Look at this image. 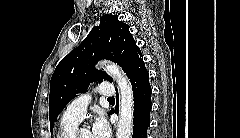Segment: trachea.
<instances>
[{
  "label": "trachea",
  "mask_w": 240,
  "mask_h": 138,
  "mask_svg": "<svg viewBox=\"0 0 240 138\" xmlns=\"http://www.w3.org/2000/svg\"><path fill=\"white\" fill-rule=\"evenodd\" d=\"M109 101H113L114 100V97H111V98H108Z\"/></svg>",
  "instance_id": "trachea-1"
}]
</instances>
